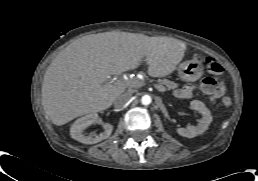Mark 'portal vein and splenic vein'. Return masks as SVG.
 Returning <instances> with one entry per match:
<instances>
[{"mask_svg":"<svg viewBox=\"0 0 258 181\" xmlns=\"http://www.w3.org/2000/svg\"><path fill=\"white\" fill-rule=\"evenodd\" d=\"M144 82L141 80H135V81H117L115 82V85L117 86H123V85H127V86H131V87H141L143 86ZM154 87L160 91V92H165L166 89L163 86H160L158 84H155Z\"/></svg>","mask_w":258,"mask_h":181,"instance_id":"1","label":"portal vein and splenic vein"}]
</instances>
